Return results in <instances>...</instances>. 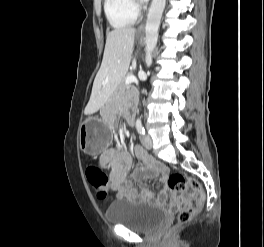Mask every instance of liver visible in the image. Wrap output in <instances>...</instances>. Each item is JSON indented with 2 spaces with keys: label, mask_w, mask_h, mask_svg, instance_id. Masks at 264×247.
I'll return each instance as SVG.
<instances>
[{
  "label": "liver",
  "mask_w": 264,
  "mask_h": 247,
  "mask_svg": "<svg viewBox=\"0 0 264 247\" xmlns=\"http://www.w3.org/2000/svg\"><path fill=\"white\" fill-rule=\"evenodd\" d=\"M136 29H114L107 34L101 67L93 83L90 100L85 109L92 114L102 108L129 69Z\"/></svg>",
  "instance_id": "liver-1"
}]
</instances>
